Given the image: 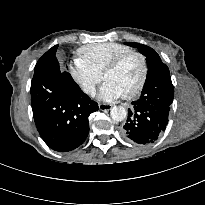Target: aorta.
Returning <instances> with one entry per match:
<instances>
[{
  "label": "aorta",
  "instance_id": "1",
  "mask_svg": "<svg viewBox=\"0 0 205 205\" xmlns=\"http://www.w3.org/2000/svg\"><path fill=\"white\" fill-rule=\"evenodd\" d=\"M111 118L114 121H123L127 116V111L122 106H114L110 111Z\"/></svg>",
  "mask_w": 205,
  "mask_h": 205
}]
</instances>
